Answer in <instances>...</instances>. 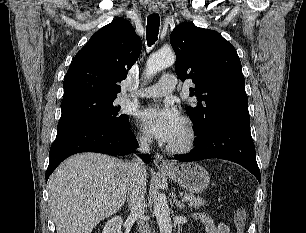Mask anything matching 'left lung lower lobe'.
I'll return each instance as SVG.
<instances>
[{
	"label": "left lung lower lobe",
	"instance_id": "left-lung-lower-lobe-1",
	"mask_svg": "<svg viewBox=\"0 0 306 233\" xmlns=\"http://www.w3.org/2000/svg\"><path fill=\"white\" fill-rule=\"evenodd\" d=\"M220 158L242 165L260 182V170L250 132V122L216 124L197 134L190 153L175 156L180 161Z\"/></svg>",
	"mask_w": 306,
	"mask_h": 233
}]
</instances>
